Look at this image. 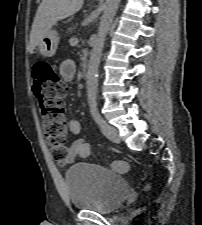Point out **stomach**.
Masks as SVG:
<instances>
[{
  "label": "stomach",
  "mask_w": 202,
  "mask_h": 225,
  "mask_svg": "<svg viewBox=\"0 0 202 225\" xmlns=\"http://www.w3.org/2000/svg\"><path fill=\"white\" fill-rule=\"evenodd\" d=\"M59 35L56 30H48L38 44V51L43 57H52L57 50Z\"/></svg>",
  "instance_id": "obj_1"
}]
</instances>
